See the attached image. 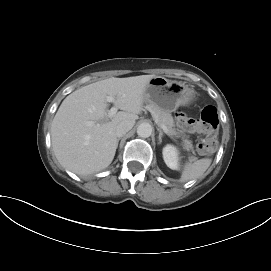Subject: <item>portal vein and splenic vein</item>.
Segmentation results:
<instances>
[{
  "label": "portal vein and splenic vein",
  "mask_w": 271,
  "mask_h": 271,
  "mask_svg": "<svg viewBox=\"0 0 271 271\" xmlns=\"http://www.w3.org/2000/svg\"><path fill=\"white\" fill-rule=\"evenodd\" d=\"M106 101H107V102L114 103V97H113V96H107V97H106ZM117 111H118V107H117V106L112 107V108L108 111V116H109L110 118H112V117L117 113ZM89 124H92V123L90 122ZM161 128H162V130H163L166 134L170 135L169 132H168V129H167V127H166L165 125H162Z\"/></svg>",
  "instance_id": "1"
}]
</instances>
